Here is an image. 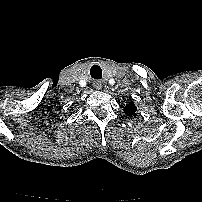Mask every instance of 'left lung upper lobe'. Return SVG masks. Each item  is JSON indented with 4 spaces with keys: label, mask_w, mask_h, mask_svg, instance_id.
Wrapping results in <instances>:
<instances>
[{
    "label": "left lung upper lobe",
    "mask_w": 202,
    "mask_h": 202,
    "mask_svg": "<svg viewBox=\"0 0 202 202\" xmlns=\"http://www.w3.org/2000/svg\"><path fill=\"white\" fill-rule=\"evenodd\" d=\"M136 110H137V108H136V106L132 102H130L129 104H127L125 106V108H124V112L128 116H135L136 115Z\"/></svg>",
    "instance_id": "left-lung-upper-lobe-1"
}]
</instances>
